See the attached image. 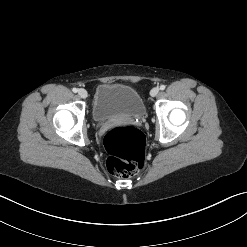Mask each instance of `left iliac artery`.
I'll return each instance as SVG.
<instances>
[{
	"mask_svg": "<svg viewBox=\"0 0 247 247\" xmlns=\"http://www.w3.org/2000/svg\"><path fill=\"white\" fill-rule=\"evenodd\" d=\"M165 88H166L165 85H161V86H160V90H164Z\"/></svg>",
	"mask_w": 247,
	"mask_h": 247,
	"instance_id": "left-iliac-artery-1",
	"label": "left iliac artery"
}]
</instances>
